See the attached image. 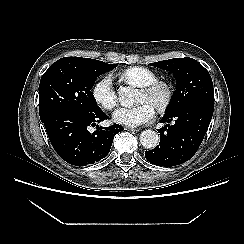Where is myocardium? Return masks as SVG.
I'll return each mask as SVG.
<instances>
[{"mask_svg": "<svg viewBox=\"0 0 244 244\" xmlns=\"http://www.w3.org/2000/svg\"><path fill=\"white\" fill-rule=\"evenodd\" d=\"M151 101L158 112H164L169 107L173 98V88L165 80H156L155 82L141 88Z\"/></svg>", "mask_w": 244, "mask_h": 244, "instance_id": "f54148a6", "label": "myocardium"}]
</instances>
